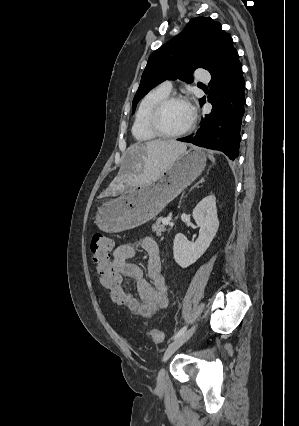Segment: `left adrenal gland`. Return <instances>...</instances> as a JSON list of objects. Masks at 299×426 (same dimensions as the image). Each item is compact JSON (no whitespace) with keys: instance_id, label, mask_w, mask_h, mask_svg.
<instances>
[{"instance_id":"a2214340","label":"left adrenal gland","mask_w":299,"mask_h":426,"mask_svg":"<svg viewBox=\"0 0 299 426\" xmlns=\"http://www.w3.org/2000/svg\"><path fill=\"white\" fill-rule=\"evenodd\" d=\"M205 180H204V178H201V180L199 181V182H197L192 188H191V190L192 189H194L195 187H197V186H199V184H201V183H203Z\"/></svg>"}]
</instances>
